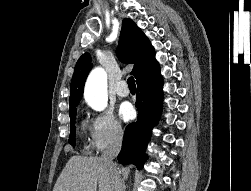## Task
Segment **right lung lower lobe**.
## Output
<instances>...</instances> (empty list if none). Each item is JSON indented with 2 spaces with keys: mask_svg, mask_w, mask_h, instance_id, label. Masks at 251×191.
Listing matches in <instances>:
<instances>
[{
  "mask_svg": "<svg viewBox=\"0 0 251 191\" xmlns=\"http://www.w3.org/2000/svg\"><path fill=\"white\" fill-rule=\"evenodd\" d=\"M162 88L161 75L137 85L136 107L139 114L137 121L129 124L125 129L122 149L118 155L121 164H134L138 169L143 167L147 158L144 149L162 111Z\"/></svg>",
  "mask_w": 251,
  "mask_h": 191,
  "instance_id": "right-lung-lower-lobe-1",
  "label": "right lung lower lobe"
}]
</instances>
